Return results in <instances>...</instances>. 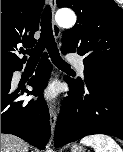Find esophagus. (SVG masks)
I'll use <instances>...</instances> for the list:
<instances>
[{"label": "esophagus", "instance_id": "1", "mask_svg": "<svg viewBox=\"0 0 123 152\" xmlns=\"http://www.w3.org/2000/svg\"><path fill=\"white\" fill-rule=\"evenodd\" d=\"M49 4L52 9V12H54L56 8V0H49ZM52 28H53L54 37L58 39L60 37L61 30L54 20H52ZM49 116H50L51 131L53 133L57 121V109L54 103H50L49 105Z\"/></svg>", "mask_w": 123, "mask_h": 152}]
</instances>
